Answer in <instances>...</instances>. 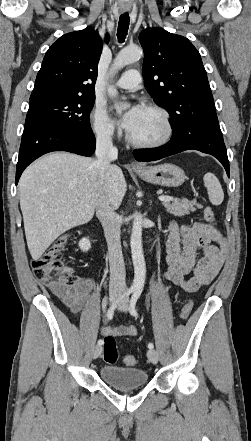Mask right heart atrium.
<instances>
[{"label":"right heart atrium","instance_id":"1","mask_svg":"<svg viewBox=\"0 0 251 441\" xmlns=\"http://www.w3.org/2000/svg\"><path fill=\"white\" fill-rule=\"evenodd\" d=\"M92 129L95 136L104 141H110L117 135L114 122L109 117L105 108L97 104L91 114Z\"/></svg>","mask_w":251,"mask_h":441}]
</instances>
